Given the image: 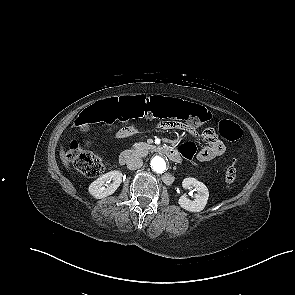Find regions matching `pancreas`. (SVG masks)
<instances>
[{"mask_svg":"<svg viewBox=\"0 0 295 295\" xmlns=\"http://www.w3.org/2000/svg\"><path fill=\"white\" fill-rule=\"evenodd\" d=\"M151 148H152V145H149L144 142H139L133 145V152L137 155L142 156Z\"/></svg>","mask_w":295,"mask_h":295,"instance_id":"pancreas-1","label":"pancreas"}]
</instances>
